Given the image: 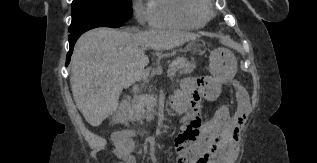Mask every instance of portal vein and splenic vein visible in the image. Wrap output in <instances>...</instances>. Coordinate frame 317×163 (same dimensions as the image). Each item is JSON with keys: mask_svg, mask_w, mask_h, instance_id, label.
I'll return each mask as SVG.
<instances>
[{"mask_svg": "<svg viewBox=\"0 0 317 163\" xmlns=\"http://www.w3.org/2000/svg\"><path fill=\"white\" fill-rule=\"evenodd\" d=\"M168 72H169L170 75H174L175 74V71L172 70V69H169Z\"/></svg>", "mask_w": 317, "mask_h": 163, "instance_id": "1", "label": "portal vein and splenic vein"}]
</instances>
